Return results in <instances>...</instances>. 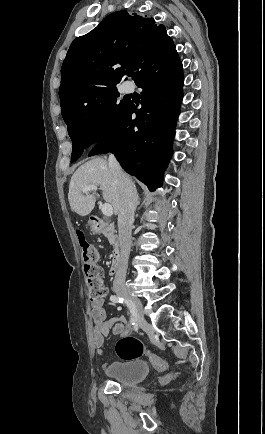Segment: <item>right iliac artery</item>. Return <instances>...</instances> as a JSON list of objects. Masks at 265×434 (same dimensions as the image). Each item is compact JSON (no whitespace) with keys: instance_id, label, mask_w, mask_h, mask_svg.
Wrapping results in <instances>:
<instances>
[{"instance_id":"obj_1","label":"right iliac artery","mask_w":265,"mask_h":434,"mask_svg":"<svg viewBox=\"0 0 265 434\" xmlns=\"http://www.w3.org/2000/svg\"><path fill=\"white\" fill-rule=\"evenodd\" d=\"M110 300L114 303H125L127 305V307L130 310V313H131L130 321H131L132 325H134L135 322L138 320V315H137V311H136L135 307L132 305V303L129 300L124 299L123 297H121L119 295H111Z\"/></svg>"}]
</instances>
